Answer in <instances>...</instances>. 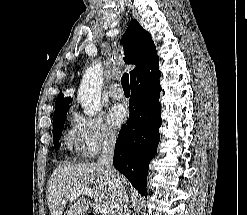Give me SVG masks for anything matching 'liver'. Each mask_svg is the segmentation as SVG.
<instances>
[{"mask_svg":"<svg viewBox=\"0 0 247 215\" xmlns=\"http://www.w3.org/2000/svg\"><path fill=\"white\" fill-rule=\"evenodd\" d=\"M119 180L124 187L125 178L119 176ZM84 189L91 190V198L107 204L112 211L114 189L106 180L104 170L96 163H78L60 165L52 173L46 191L50 215H62L68 201L74 203L67 210V215H84L89 207L84 194L72 201L67 198Z\"/></svg>","mask_w":247,"mask_h":215,"instance_id":"6515ba94","label":"liver"}]
</instances>
